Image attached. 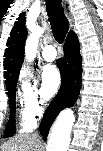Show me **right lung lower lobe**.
Instances as JSON below:
<instances>
[{"label":"right lung lower lobe","instance_id":"right-lung-lower-lobe-1","mask_svg":"<svg viewBox=\"0 0 103 151\" xmlns=\"http://www.w3.org/2000/svg\"><path fill=\"white\" fill-rule=\"evenodd\" d=\"M65 55L58 62L61 73V87L45 111L40 124V133L46 140L51 124L58 113L65 107L71 106L78 98L81 86V56L76 35L67 38L64 44Z\"/></svg>","mask_w":103,"mask_h":151}]
</instances>
